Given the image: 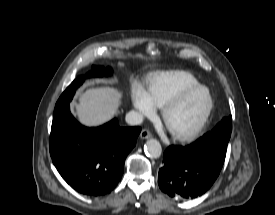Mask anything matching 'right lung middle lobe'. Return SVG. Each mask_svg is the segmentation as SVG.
Here are the masks:
<instances>
[{
	"label": "right lung middle lobe",
	"mask_w": 275,
	"mask_h": 215,
	"mask_svg": "<svg viewBox=\"0 0 275 215\" xmlns=\"http://www.w3.org/2000/svg\"><path fill=\"white\" fill-rule=\"evenodd\" d=\"M112 73V70L110 68H102V67H94L91 72H89L85 77H96V76H102L103 74L105 75H110ZM84 76L78 77L75 81H73L67 89L62 93L60 98L58 99L55 108H58L66 103H69L74 94L75 90L84 82L85 80Z\"/></svg>",
	"instance_id": "dd1d6c3e"
}]
</instances>
